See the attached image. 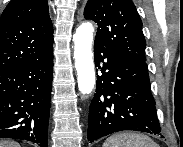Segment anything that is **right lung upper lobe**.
<instances>
[{
    "mask_svg": "<svg viewBox=\"0 0 183 147\" xmlns=\"http://www.w3.org/2000/svg\"><path fill=\"white\" fill-rule=\"evenodd\" d=\"M53 51L47 0H12L0 18V73Z\"/></svg>",
    "mask_w": 183,
    "mask_h": 147,
    "instance_id": "obj_1",
    "label": "right lung upper lobe"
}]
</instances>
